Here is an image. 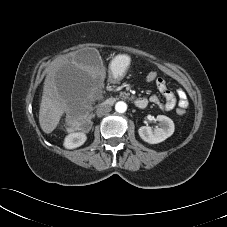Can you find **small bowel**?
Here are the masks:
<instances>
[{
  "label": "small bowel",
  "instance_id": "small-bowel-1",
  "mask_svg": "<svg viewBox=\"0 0 227 227\" xmlns=\"http://www.w3.org/2000/svg\"><path fill=\"white\" fill-rule=\"evenodd\" d=\"M158 90L160 93L164 96L165 101L161 102L158 96L152 95L149 98V101L157 106H159L161 109L170 111L175 108L176 104L179 108L186 109L188 107V100L185 92L183 90H178V102L176 100L175 95L173 92L167 87L166 82L162 78H158L155 82Z\"/></svg>",
  "mask_w": 227,
  "mask_h": 227
}]
</instances>
